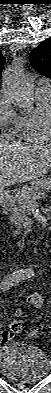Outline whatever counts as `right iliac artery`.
<instances>
[{"instance_id":"obj_1","label":"right iliac artery","mask_w":51,"mask_h":393,"mask_svg":"<svg viewBox=\"0 0 51 393\" xmlns=\"http://www.w3.org/2000/svg\"><path fill=\"white\" fill-rule=\"evenodd\" d=\"M32 272H29L27 270H19L16 272H13L12 274L7 275L4 277V279L1 282V289L3 292L8 290L10 287L13 285L19 283L20 281L27 279L28 275L31 274Z\"/></svg>"}]
</instances>
